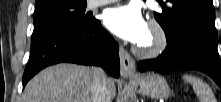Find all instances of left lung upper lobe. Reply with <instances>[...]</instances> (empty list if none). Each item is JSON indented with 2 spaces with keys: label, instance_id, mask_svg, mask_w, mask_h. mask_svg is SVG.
Wrapping results in <instances>:
<instances>
[{
  "label": "left lung upper lobe",
  "instance_id": "left-lung-upper-lobe-1",
  "mask_svg": "<svg viewBox=\"0 0 221 102\" xmlns=\"http://www.w3.org/2000/svg\"><path fill=\"white\" fill-rule=\"evenodd\" d=\"M161 2L162 13H155L166 38H170L185 28H193L217 40L215 10L212 0H167Z\"/></svg>",
  "mask_w": 221,
  "mask_h": 102
}]
</instances>
